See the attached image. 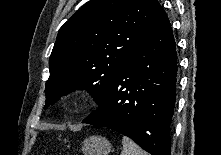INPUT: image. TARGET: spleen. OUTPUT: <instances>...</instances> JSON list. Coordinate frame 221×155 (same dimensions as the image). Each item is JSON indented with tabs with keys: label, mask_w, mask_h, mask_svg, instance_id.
Returning <instances> with one entry per match:
<instances>
[{
	"label": "spleen",
	"mask_w": 221,
	"mask_h": 155,
	"mask_svg": "<svg viewBox=\"0 0 221 155\" xmlns=\"http://www.w3.org/2000/svg\"><path fill=\"white\" fill-rule=\"evenodd\" d=\"M123 150L121 155H147L135 142L128 137L122 138Z\"/></svg>",
	"instance_id": "spleen-1"
}]
</instances>
